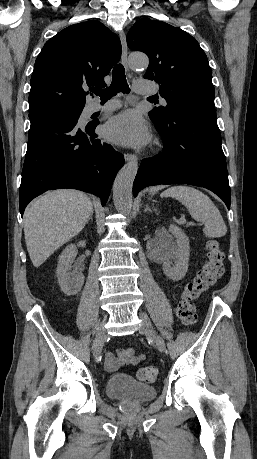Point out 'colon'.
Wrapping results in <instances>:
<instances>
[{
    "label": "colon",
    "instance_id": "obj_1",
    "mask_svg": "<svg viewBox=\"0 0 257 459\" xmlns=\"http://www.w3.org/2000/svg\"><path fill=\"white\" fill-rule=\"evenodd\" d=\"M207 261L197 276L187 283L181 293L177 305V316L185 327H192L197 321V313L194 301L208 288L216 283L223 275L224 252L220 243L210 239L206 244ZM158 370L155 367H145L138 371L137 376L145 382H152L156 379Z\"/></svg>",
    "mask_w": 257,
    "mask_h": 459
}]
</instances>
